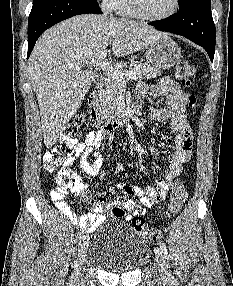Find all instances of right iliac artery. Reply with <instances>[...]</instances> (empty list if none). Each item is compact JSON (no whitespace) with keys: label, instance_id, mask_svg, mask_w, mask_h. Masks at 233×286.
I'll return each instance as SVG.
<instances>
[{"label":"right iliac artery","instance_id":"obj_1","mask_svg":"<svg viewBox=\"0 0 233 286\" xmlns=\"http://www.w3.org/2000/svg\"><path fill=\"white\" fill-rule=\"evenodd\" d=\"M83 236V230H80L76 236V242L80 241Z\"/></svg>","mask_w":233,"mask_h":286}]
</instances>
